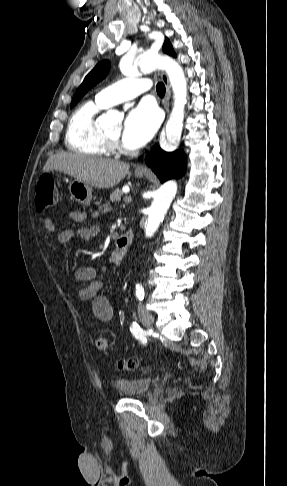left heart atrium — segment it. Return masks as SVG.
<instances>
[{
	"mask_svg": "<svg viewBox=\"0 0 287 486\" xmlns=\"http://www.w3.org/2000/svg\"><path fill=\"white\" fill-rule=\"evenodd\" d=\"M160 122L158 111L150 104L141 103L125 118L122 145L128 149L144 146L155 134Z\"/></svg>",
	"mask_w": 287,
	"mask_h": 486,
	"instance_id": "1",
	"label": "left heart atrium"
}]
</instances>
